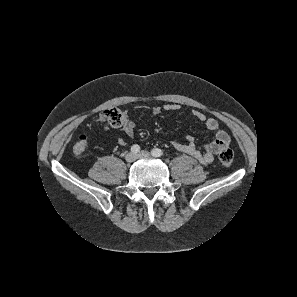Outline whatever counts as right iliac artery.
Segmentation results:
<instances>
[{"instance_id":"right-iliac-artery-1","label":"right iliac artery","mask_w":297,"mask_h":297,"mask_svg":"<svg viewBox=\"0 0 297 297\" xmlns=\"http://www.w3.org/2000/svg\"><path fill=\"white\" fill-rule=\"evenodd\" d=\"M140 151V146L135 144V145H132L131 147V152H133L134 154L138 153Z\"/></svg>"}]
</instances>
